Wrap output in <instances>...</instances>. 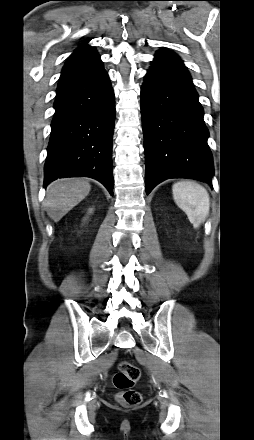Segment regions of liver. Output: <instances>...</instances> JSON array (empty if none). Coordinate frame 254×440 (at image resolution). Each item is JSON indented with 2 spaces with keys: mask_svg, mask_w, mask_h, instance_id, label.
Listing matches in <instances>:
<instances>
[{
  "mask_svg": "<svg viewBox=\"0 0 254 440\" xmlns=\"http://www.w3.org/2000/svg\"><path fill=\"white\" fill-rule=\"evenodd\" d=\"M90 183L81 178H64L52 182L46 190L45 205L50 217L59 221L89 194Z\"/></svg>",
  "mask_w": 254,
  "mask_h": 440,
  "instance_id": "1",
  "label": "liver"
}]
</instances>
